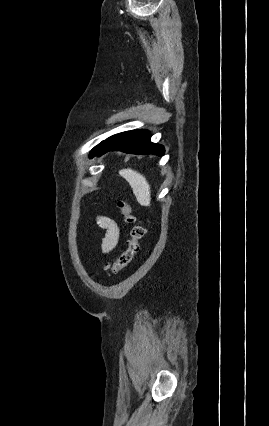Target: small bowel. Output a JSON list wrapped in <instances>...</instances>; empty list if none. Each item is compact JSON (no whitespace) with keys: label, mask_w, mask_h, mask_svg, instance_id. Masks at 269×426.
Masks as SVG:
<instances>
[{"label":"small bowel","mask_w":269,"mask_h":426,"mask_svg":"<svg viewBox=\"0 0 269 426\" xmlns=\"http://www.w3.org/2000/svg\"><path fill=\"white\" fill-rule=\"evenodd\" d=\"M96 222L100 228L105 230V235L101 242V253L107 255L118 243L120 228L116 221L108 216L100 215L97 217Z\"/></svg>","instance_id":"obj_1"}]
</instances>
